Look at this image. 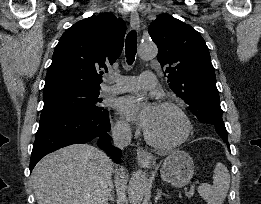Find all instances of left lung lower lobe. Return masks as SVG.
Instances as JSON below:
<instances>
[{
    "instance_id": "obj_1",
    "label": "left lung lower lobe",
    "mask_w": 261,
    "mask_h": 204,
    "mask_svg": "<svg viewBox=\"0 0 261 204\" xmlns=\"http://www.w3.org/2000/svg\"><path fill=\"white\" fill-rule=\"evenodd\" d=\"M223 140H224V142H225L228 146H230L229 143H228V139H227V138H223Z\"/></svg>"
}]
</instances>
